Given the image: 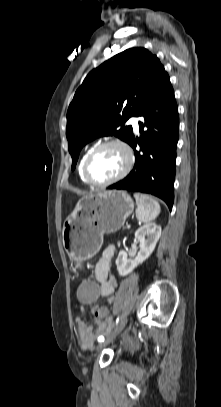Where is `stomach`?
<instances>
[{
    "instance_id": "obj_1",
    "label": "stomach",
    "mask_w": 221,
    "mask_h": 407,
    "mask_svg": "<svg viewBox=\"0 0 221 407\" xmlns=\"http://www.w3.org/2000/svg\"><path fill=\"white\" fill-rule=\"evenodd\" d=\"M133 209L132 198L122 190L82 197L63 225L62 242L69 258L77 265L92 258L104 234L118 231Z\"/></svg>"
}]
</instances>
